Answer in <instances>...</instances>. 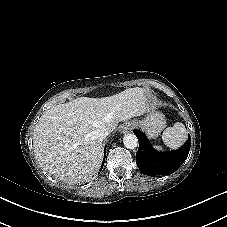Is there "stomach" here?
<instances>
[{
    "label": "stomach",
    "mask_w": 227,
    "mask_h": 227,
    "mask_svg": "<svg viewBox=\"0 0 227 227\" xmlns=\"http://www.w3.org/2000/svg\"><path fill=\"white\" fill-rule=\"evenodd\" d=\"M136 126L141 128L149 138H156L166 126V120L161 113L149 114L141 121L135 122Z\"/></svg>",
    "instance_id": "0dacf381"
}]
</instances>
